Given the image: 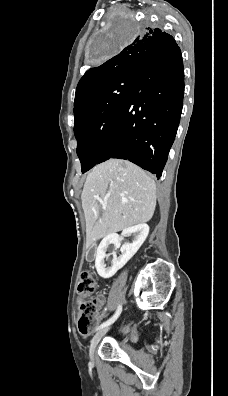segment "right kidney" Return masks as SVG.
<instances>
[{"instance_id":"obj_1","label":"right kidney","mask_w":228,"mask_h":396,"mask_svg":"<svg viewBox=\"0 0 228 396\" xmlns=\"http://www.w3.org/2000/svg\"><path fill=\"white\" fill-rule=\"evenodd\" d=\"M149 233V226L147 224H138L123 230L121 236L112 233L103 238L97 248L95 259V267L99 276L104 279L112 277L119 269H121L139 250ZM134 236L132 243H125L121 247V241L125 236ZM110 244L115 247H120L121 255L117 257L113 253V261L111 267H106L105 258H107L106 250Z\"/></svg>"}]
</instances>
